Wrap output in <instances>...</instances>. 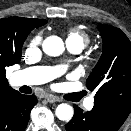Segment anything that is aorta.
Segmentation results:
<instances>
[{
	"instance_id": "762f6f07",
	"label": "aorta",
	"mask_w": 131,
	"mask_h": 131,
	"mask_svg": "<svg viewBox=\"0 0 131 131\" xmlns=\"http://www.w3.org/2000/svg\"><path fill=\"white\" fill-rule=\"evenodd\" d=\"M43 51L49 56H59L64 51V43L58 36L47 37L43 44ZM56 116L59 120L69 121L73 117V108L68 104H60L55 110Z\"/></svg>"
}]
</instances>
